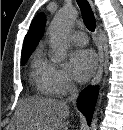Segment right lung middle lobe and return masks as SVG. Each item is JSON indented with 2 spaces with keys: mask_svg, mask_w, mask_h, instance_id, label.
<instances>
[{
  "mask_svg": "<svg viewBox=\"0 0 123 130\" xmlns=\"http://www.w3.org/2000/svg\"><path fill=\"white\" fill-rule=\"evenodd\" d=\"M29 57H30V55L22 56L21 57V65H24Z\"/></svg>",
  "mask_w": 123,
  "mask_h": 130,
  "instance_id": "right-lung-middle-lobe-1",
  "label": "right lung middle lobe"
}]
</instances>
